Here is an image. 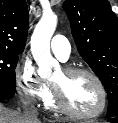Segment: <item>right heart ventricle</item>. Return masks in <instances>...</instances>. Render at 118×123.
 Listing matches in <instances>:
<instances>
[{
	"label": "right heart ventricle",
	"mask_w": 118,
	"mask_h": 123,
	"mask_svg": "<svg viewBox=\"0 0 118 123\" xmlns=\"http://www.w3.org/2000/svg\"><path fill=\"white\" fill-rule=\"evenodd\" d=\"M43 101H44V105L47 108H50V109H55L56 108V105L54 103L52 94L50 92L48 93L47 97Z\"/></svg>",
	"instance_id": "obj_1"
}]
</instances>
